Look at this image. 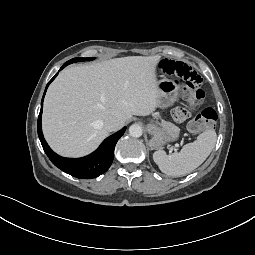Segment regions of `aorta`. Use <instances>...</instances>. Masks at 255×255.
<instances>
[{"instance_id":"aorta-1","label":"aorta","mask_w":255,"mask_h":255,"mask_svg":"<svg viewBox=\"0 0 255 255\" xmlns=\"http://www.w3.org/2000/svg\"><path fill=\"white\" fill-rule=\"evenodd\" d=\"M142 133H143L142 127L138 124H133L129 127V134L134 138L140 137Z\"/></svg>"}]
</instances>
